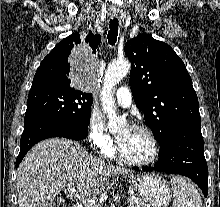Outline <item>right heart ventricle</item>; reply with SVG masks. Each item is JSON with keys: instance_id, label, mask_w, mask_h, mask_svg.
Wrapping results in <instances>:
<instances>
[{"instance_id": "e07e8e85", "label": "right heart ventricle", "mask_w": 220, "mask_h": 207, "mask_svg": "<svg viewBox=\"0 0 220 207\" xmlns=\"http://www.w3.org/2000/svg\"><path fill=\"white\" fill-rule=\"evenodd\" d=\"M104 155L109 157V158H113L115 156V153H114V150L111 149L108 152H106Z\"/></svg>"}]
</instances>
